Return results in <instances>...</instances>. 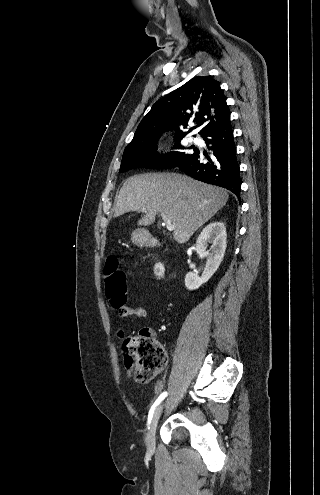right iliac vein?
I'll return each instance as SVG.
<instances>
[{
	"mask_svg": "<svg viewBox=\"0 0 320 495\" xmlns=\"http://www.w3.org/2000/svg\"><path fill=\"white\" fill-rule=\"evenodd\" d=\"M163 406H164V404H160L156 408L155 413H154V416H153V420H152V423H151V426H150L149 431H148V434H147L146 442H147V448H148V450L150 452H154L155 451V434H156V428H157V424H158L159 418L161 416V413L163 411Z\"/></svg>",
	"mask_w": 320,
	"mask_h": 495,
	"instance_id": "1",
	"label": "right iliac vein"
}]
</instances>
